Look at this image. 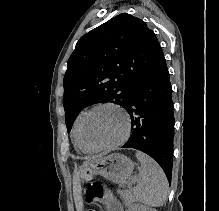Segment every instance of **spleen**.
Masks as SVG:
<instances>
[{"instance_id":"spleen-1","label":"spleen","mask_w":219,"mask_h":211,"mask_svg":"<svg viewBox=\"0 0 219 211\" xmlns=\"http://www.w3.org/2000/svg\"><path fill=\"white\" fill-rule=\"evenodd\" d=\"M136 157L141 161L140 171L135 177L137 185L133 189L134 201H141L145 205L160 207L166 201L168 193L167 177L157 161L152 157L137 151Z\"/></svg>"}]
</instances>
